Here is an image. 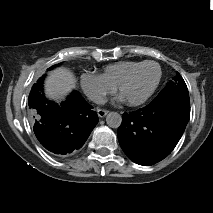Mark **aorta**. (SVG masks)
Here are the masks:
<instances>
[{
    "mask_svg": "<svg viewBox=\"0 0 213 213\" xmlns=\"http://www.w3.org/2000/svg\"><path fill=\"white\" fill-rule=\"evenodd\" d=\"M106 123L110 128H118L122 123V116L117 112H109L106 116Z\"/></svg>",
    "mask_w": 213,
    "mask_h": 213,
    "instance_id": "762f6f07",
    "label": "aorta"
}]
</instances>
